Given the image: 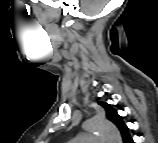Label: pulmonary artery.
<instances>
[{"label": "pulmonary artery", "mask_w": 158, "mask_h": 143, "mask_svg": "<svg viewBox=\"0 0 158 143\" xmlns=\"http://www.w3.org/2000/svg\"><path fill=\"white\" fill-rule=\"evenodd\" d=\"M78 140L83 141V142H92V141H96L99 140V138L95 137V136H91V135H81Z\"/></svg>", "instance_id": "obj_1"}]
</instances>
